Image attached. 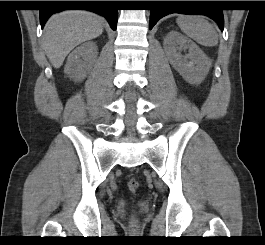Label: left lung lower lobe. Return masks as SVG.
<instances>
[{
    "mask_svg": "<svg viewBox=\"0 0 265 245\" xmlns=\"http://www.w3.org/2000/svg\"><path fill=\"white\" fill-rule=\"evenodd\" d=\"M161 8H154L150 13V23L149 29L151 30L153 26L157 23L162 17L171 14V13H180V14H199L205 15L213 19L223 31L224 28V18L223 12L220 8H192L193 5L202 4L208 6H214L216 1H157Z\"/></svg>",
    "mask_w": 265,
    "mask_h": 245,
    "instance_id": "1",
    "label": "left lung lower lobe"
}]
</instances>
